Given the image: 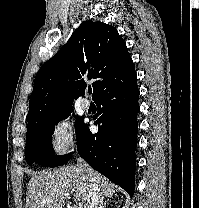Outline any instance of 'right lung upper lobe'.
<instances>
[{"label": "right lung upper lobe", "mask_w": 199, "mask_h": 208, "mask_svg": "<svg viewBox=\"0 0 199 208\" xmlns=\"http://www.w3.org/2000/svg\"><path fill=\"white\" fill-rule=\"evenodd\" d=\"M134 74L133 61L116 28L103 22H82L36 74L27 132L71 112L73 99L83 94L87 81L94 80L95 99Z\"/></svg>", "instance_id": "cb5924a9"}]
</instances>
